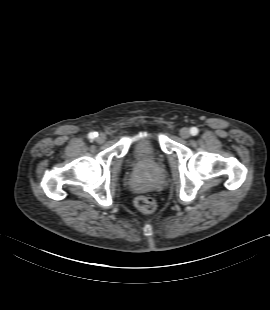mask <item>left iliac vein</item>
Wrapping results in <instances>:
<instances>
[{
    "label": "left iliac vein",
    "mask_w": 270,
    "mask_h": 310,
    "mask_svg": "<svg viewBox=\"0 0 270 310\" xmlns=\"http://www.w3.org/2000/svg\"><path fill=\"white\" fill-rule=\"evenodd\" d=\"M180 136L183 139H188L191 136L190 130L188 128H186V127L182 128L180 130Z\"/></svg>",
    "instance_id": "left-iliac-vein-1"
}]
</instances>
